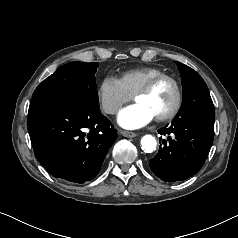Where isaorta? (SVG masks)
<instances>
[{"label":"aorta","mask_w":238,"mask_h":238,"mask_svg":"<svg viewBox=\"0 0 238 238\" xmlns=\"http://www.w3.org/2000/svg\"><path fill=\"white\" fill-rule=\"evenodd\" d=\"M157 142L154 136L147 134L141 138V148L146 153H152L156 150Z\"/></svg>","instance_id":"1"}]
</instances>
